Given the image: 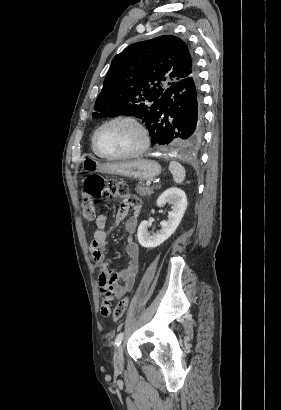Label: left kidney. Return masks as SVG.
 Segmentation results:
<instances>
[{
  "label": "left kidney",
  "instance_id": "1",
  "mask_svg": "<svg viewBox=\"0 0 281 410\" xmlns=\"http://www.w3.org/2000/svg\"><path fill=\"white\" fill-rule=\"evenodd\" d=\"M166 203L172 205V210L168 212V219L161 222V229L150 235L148 232V221H142L138 227L137 237L139 244L144 248H155L167 240L179 226L187 208V198L183 190L171 187L165 190L157 199V206H164Z\"/></svg>",
  "mask_w": 281,
  "mask_h": 410
}]
</instances>
